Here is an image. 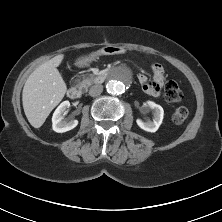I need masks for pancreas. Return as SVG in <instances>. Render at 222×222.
Returning a JSON list of instances; mask_svg holds the SVG:
<instances>
[{"label":"pancreas","mask_w":222,"mask_h":222,"mask_svg":"<svg viewBox=\"0 0 222 222\" xmlns=\"http://www.w3.org/2000/svg\"><path fill=\"white\" fill-rule=\"evenodd\" d=\"M94 81H95V76L93 74L83 75L82 81H80L77 86L81 89L82 88L87 89L90 85L94 83Z\"/></svg>","instance_id":"1"}]
</instances>
